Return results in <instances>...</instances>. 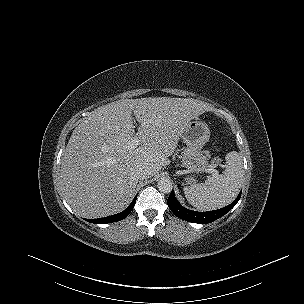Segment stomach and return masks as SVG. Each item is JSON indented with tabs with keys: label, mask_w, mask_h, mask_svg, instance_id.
Here are the masks:
<instances>
[{
	"label": "stomach",
	"mask_w": 304,
	"mask_h": 304,
	"mask_svg": "<svg viewBox=\"0 0 304 304\" xmlns=\"http://www.w3.org/2000/svg\"><path fill=\"white\" fill-rule=\"evenodd\" d=\"M180 137L186 148L179 158L182 166L191 175L186 179L191 184L195 182V175L204 173L208 168V157L203 154L202 147L210 138V129L204 121L196 118L188 122Z\"/></svg>",
	"instance_id": "1"
}]
</instances>
